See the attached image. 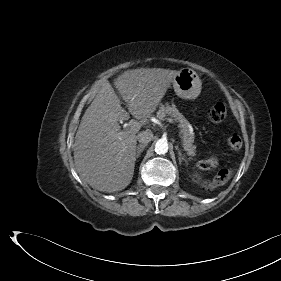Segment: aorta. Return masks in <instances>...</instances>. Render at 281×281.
Listing matches in <instances>:
<instances>
[{"mask_svg": "<svg viewBox=\"0 0 281 281\" xmlns=\"http://www.w3.org/2000/svg\"><path fill=\"white\" fill-rule=\"evenodd\" d=\"M155 151L157 154H165L168 152V143L164 139H159L155 144Z\"/></svg>", "mask_w": 281, "mask_h": 281, "instance_id": "762f6f07", "label": "aorta"}]
</instances>
